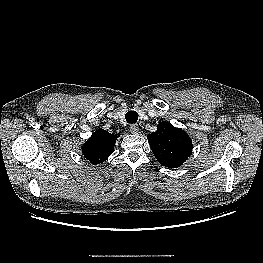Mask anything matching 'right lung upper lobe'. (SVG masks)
Masks as SVG:
<instances>
[{
  "label": "right lung upper lobe",
  "instance_id": "cb5924a9",
  "mask_svg": "<svg viewBox=\"0 0 263 263\" xmlns=\"http://www.w3.org/2000/svg\"><path fill=\"white\" fill-rule=\"evenodd\" d=\"M117 135L99 129L83 146V155L92 163L100 164L113 152Z\"/></svg>",
  "mask_w": 263,
  "mask_h": 263
}]
</instances>
